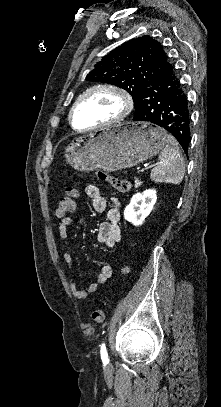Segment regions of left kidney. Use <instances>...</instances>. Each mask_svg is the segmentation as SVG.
Here are the masks:
<instances>
[{
	"mask_svg": "<svg viewBox=\"0 0 221 407\" xmlns=\"http://www.w3.org/2000/svg\"><path fill=\"white\" fill-rule=\"evenodd\" d=\"M157 200L156 190L149 189L132 196L124 210V218L134 226H139L152 211Z\"/></svg>",
	"mask_w": 221,
	"mask_h": 407,
	"instance_id": "left-kidney-1",
	"label": "left kidney"
}]
</instances>
